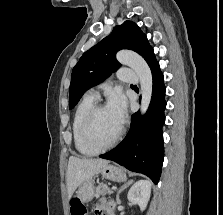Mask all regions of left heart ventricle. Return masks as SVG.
Returning a JSON list of instances; mask_svg holds the SVG:
<instances>
[{
  "mask_svg": "<svg viewBox=\"0 0 223 215\" xmlns=\"http://www.w3.org/2000/svg\"><path fill=\"white\" fill-rule=\"evenodd\" d=\"M120 125L105 109L99 111L93 127V138L99 146L109 144L119 131Z\"/></svg>",
  "mask_w": 223,
  "mask_h": 215,
  "instance_id": "obj_1",
  "label": "left heart ventricle"
}]
</instances>
